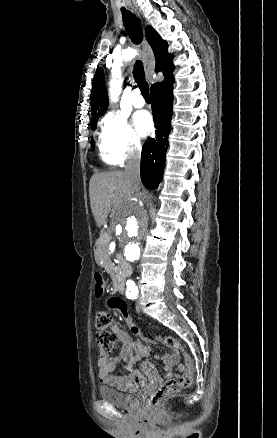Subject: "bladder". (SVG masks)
I'll use <instances>...</instances> for the list:
<instances>
[{
    "label": "bladder",
    "instance_id": "1",
    "mask_svg": "<svg viewBox=\"0 0 277 438\" xmlns=\"http://www.w3.org/2000/svg\"><path fill=\"white\" fill-rule=\"evenodd\" d=\"M97 396L101 398L103 402L122 409H134L142 399V393L140 391L125 395L121 391L110 387L98 389Z\"/></svg>",
    "mask_w": 277,
    "mask_h": 438
}]
</instances>
